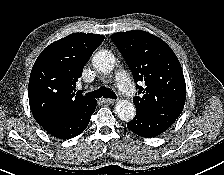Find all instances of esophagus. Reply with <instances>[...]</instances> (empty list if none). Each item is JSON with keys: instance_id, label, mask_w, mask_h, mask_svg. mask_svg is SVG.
Segmentation results:
<instances>
[{"instance_id": "obj_1", "label": "esophagus", "mask_w": 224, "mask_h": 175, "mask_svg": "<svg viewBox=\"0 0 224 175\" xmlns=\"http://www.w3.org/2000/svg\"><path fill=\"white\" fill-rule=\"evenodd\" d=\"M103 102H104L105 104L110 105V104H114L115 100L112 99V98H104V99H103Z\"/></svg>"}]
</instances>
